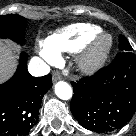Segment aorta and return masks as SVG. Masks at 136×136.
Here are the masks:
<instances>
[{
  "instance_id": "762f6f07",
  "label": "aorta",
  "mask_w": 136,
  "mask_h": 136,
  "mask_svg": "<svg viewBox=\"0 0 136 136\" xmlns=\"http://www.w3.org/2000/svg\"><path fill=\"white\" fill-rule=\"evenodd\" d=\"M55 94L62 100H69L72 97L71 86L64 81H59L55 85Z\"/></svg>"
}]
</instances>
